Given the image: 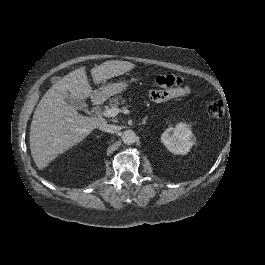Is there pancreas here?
Listing matches in <instances>:
<instances>
[{
	"mask_svg": "<svg viewBox=\"0 0 265 265\" xmlns=\"http://www.w3.org/2000/svg\"><path fill=\"white\" fill-rule=\"evenodd\" d=\"M125 103V100L122 98L121 95L115 96L114 98L110 99L109 101V107H118L120 104L123 105ZM107 108V106H106Z\"/></svg>",
	"mask_w": 265,
	"mask_h": 265,
	"instance_id": "obj_1",
	"label": "pancreas"
}]
</instances>
